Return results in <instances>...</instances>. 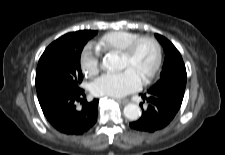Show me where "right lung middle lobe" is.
Wrapping results in <instances>:
<instances>
[{
    "mask_svg": "<svg viewBox=\"0 0 225 155\" xmlns=\"http://www.w3.org/2000/svg\"><path fill=\"white\" fill-rule=\"evenodd\" d=\"M94 35L66 34L46 48L36 70L35 85L39 102L59 91L80 90L79 84L83 80L80 55L84 45Z\"/></svg>",
    "mask_w": 225,
    "mask_h": 155,
    "instance_id": "obj_1",
    "label": "right lung middle lobe"
}]
</instances>
